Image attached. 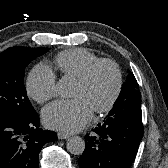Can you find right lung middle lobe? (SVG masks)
I'll list each match as a JSON object with an SVG mask.
<instances>
[{"label": "right lung middle lobe", "instance_id": "right-lung-middle-lobe-1", "mask_svg": "<svg viewBox=\"0 0 168 168\" xmlns=\"http://www.w3.org/2000/svg\"><path fill=\"white\" fill-rule=\"evenodd\" d=\"M48 50L16 46L0 54V115L29 117L36 113L24 87V69Z\"/></svg>", "mask_w": 168, "mask_h": 168}]
</instances>
